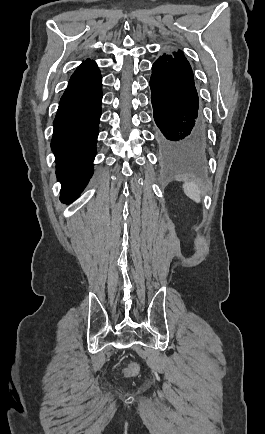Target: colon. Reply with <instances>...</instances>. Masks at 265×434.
<instances>
[{"instance_id": "obj_1", "label": "colon", "mask_w": 265, "mask_h": 434, "mask_svg": "<svg viewBox=\"0 0 265 434\" xmlns=\"http://www.w3.org/2000/svg\"><path fill=\"white\" fill-rule=\"evenodd\" d=\"M139 373V367L135 363H130L125 369V375L128 377H134Z\"/></svg>"}]
</instances>
